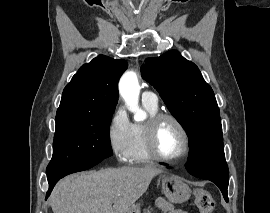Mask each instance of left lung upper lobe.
Masks as SVG:
<instances>
[{
    "label": "left lung upper lobe",
    "mask_w": 270,
    "mask_h": 213,
    "mask_svg": "<svg viewBox=\"0 0 270 213\" xmlns=\"http://www.w3.org/2000/svg\"><path fill=\"white\" fill-rule=\"evenodd\" d=\"M141 75L189 133L188 158L198 165L201 177L228 183L219 108L198 67L171 50L160 57L147 58Z\"/></svg>",
    "instance_id": "5c2ea615"
}]
</instances>
